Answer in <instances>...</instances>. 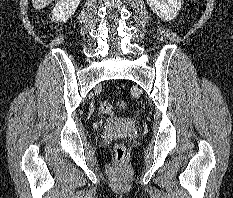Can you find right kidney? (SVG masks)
Segmentation results:
<instances>
[{
	"mask_svg": "<svg viewBox=\"0 0 233 198\" xmlns=\"http://www.w3.org/2000/svg\"><path fill=\"white\" fill-rule=\"evenodd\" d=\"M80 0H59L52 11V21L64 22L68 20L79 6Z\"/></svg>",
	"mask_w": 233,
	"mask_h": 198,
	"instance_id": "right-kidney-1",
	"label": "right kidney"
}]
</instances>
